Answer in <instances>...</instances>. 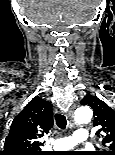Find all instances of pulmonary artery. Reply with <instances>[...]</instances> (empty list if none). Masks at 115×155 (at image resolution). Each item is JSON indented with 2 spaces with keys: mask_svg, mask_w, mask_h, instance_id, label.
<instances>
[{
  "mask_svg": "<svg viewBox=\"0 0 115 155\" xmlns=\"http://www.w3.org/2000/svg\"><path fill=\"white\" fill-rule=\"evenodd\" d=\"M88 139V130L86 128H79L75 130L73 135L57 139L55 149L60 151L68 150L75 147L78 143L88 142Z\"/></svg>",
  "mask_w": 115,
  "mask_h": 155,
  "instance_id": "obj_1",
  "label": "pulmonary artery"
}]
</instances>
